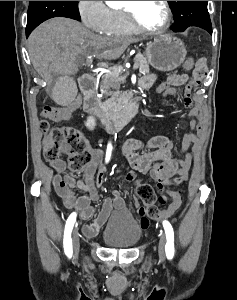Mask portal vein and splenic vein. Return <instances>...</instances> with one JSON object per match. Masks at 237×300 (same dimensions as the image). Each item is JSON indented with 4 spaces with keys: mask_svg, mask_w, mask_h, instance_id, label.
I'll list each match as a JSON object with an SVG mask.
<instances>
[{
    "mask_svg": "<svg viewBox=\"0 0 237 300\" xmlns=\"http://www.w3.org/2000/svg\"><path fill=\"white\" fill-rule=\"evenodd\" d=\"M137 65H138V62L135 60L134 63H133V67H132V68H133V72L136 71ZM124 75H129V74H124ZM119 79H120L121 81H124V77H122V76H121Z\"/></svg>",
    "mask_w": 237,
    "mask_h": 300,
    "instance_id": "1",
    "label": "portal vein and splenic vein"
}]
</instances>
